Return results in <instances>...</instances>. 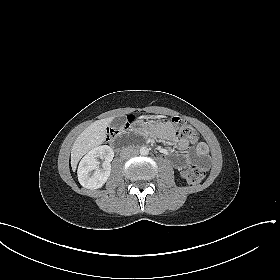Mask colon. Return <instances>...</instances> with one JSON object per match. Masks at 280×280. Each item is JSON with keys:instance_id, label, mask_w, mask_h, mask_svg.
<instances>
[{"instance_id": "colon-1", "label": "colon", "mask_w": 280, "mask_h": 280, "mask_svg": "<svg viewBox=\"0 0 280 280\" xmlns=\"http://www.w3.org/2000/svg\"><path fill=\"white\" fill-rule=\"evenodd\" d=\"M134 121V117H129L126 126ZM170 124L173 126L176 134L182 138L188 139L192 143L198 141V131L190 125L187 121L179 117H172L169 119ZM118 132V129L113 128L109 131V136L113 137ZM206 175L204 168L196 165L185 168L182 172L184 179L190 184L200 183Z\"/></svg>"}]
</instances>
